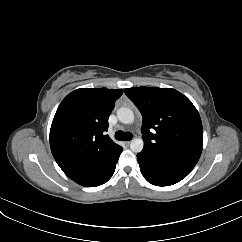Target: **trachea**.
Returning <instances> with one entry per match:
<instances>
[{"label": "trachea", "instance_id": "obj_1", "mask_svg": "<svg viewBox=\"0 0 242 242\" xmlns=\"http://www.w3.org/2000/svg\"><path fill=\"white\" fill-rule=\"evenodd\" d=\"M115 138L120 141H130L133 138V135L130 132L117 131L115 133Z\"/></svg>", "mask_w": 242, "mask_h": 242}]
</instances>
